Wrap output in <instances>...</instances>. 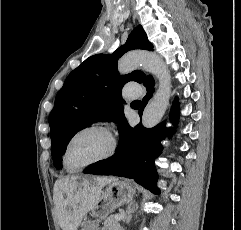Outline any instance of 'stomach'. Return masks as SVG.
<instances>
[{
    "label": "stomach",
    "instance_id": "obj_1",
    "mask_svg": "<svg viewBox=\"0 0 241 230\" xmlns=\"http://www.w3.org/2000/svg\"><path fill=\"white\" fill-rule=\"evenodd\" d=\"M135 194V189L126 180L109 183L102 191L101 197L92 210L96 219H106L117 207L129 202ZM80 230H102L98 223L84 221Z\"/></svg>",
    "mask_w": 241,
    "mask_h": 230
}]
</instances>
